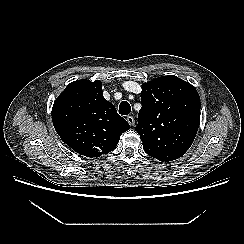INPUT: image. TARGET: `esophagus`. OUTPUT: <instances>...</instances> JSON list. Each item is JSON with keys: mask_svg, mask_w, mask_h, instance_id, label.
I'll return each mask as SVG.
<instances>
[{"mask_svg": "<svg viewBox=\"0 0 244 244\" xmlns=\"http://www.w3.org/2000/svg\"><path fill=\"white\" fill-rule=\"evenodd\" d=\"M126 120L130 124V126H134L135 125V119H134L133 116H127Z\"/></svg>", "mask_w": 244, "mask_h": 244, "instance_id": "1", "label": "esophagus"}]
</instances>
